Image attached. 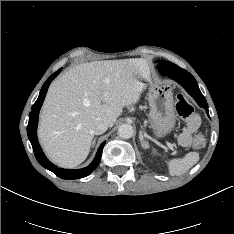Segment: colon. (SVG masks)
<instances>
[{"label": "colon", "instance_id": "colon-1", "mask_svg": "<svg viewBox=\"0 0 234 234\" xmlns=\"http://www.w3.org/2000/svg\"><path fill=\"white\" fill-rule=\"evenodd\" d=\"M176 112L178 116L186 121L188 124L196 125V115L194 114L193 107L187 100V98L179 93L176 95V104H175ZM205 138L203 135L198 134L193 141V147L195 149H201L205 145Z\"/></svg>", "mask_w": 234, "mask_h": 234}]
</instances>
